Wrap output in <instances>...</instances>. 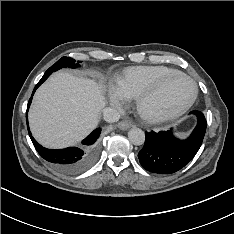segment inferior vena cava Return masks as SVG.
Masks as SVG:
<instances>
[{
    "label": "inferior vena cava",
    "mask_w": 234,
    "mask_h": 234,
    "mask_svg": "<svg viewBox=\"0 0 234 234\" xmlns=\"http://www.w3.org/2000/svg\"><path fill=\"white\" fill-rule=\"evenodd\" d=\"M103 118L107 122H117L120 119V114L116 109L108 107L103 109Z\"/></svg>",
    "instance_id": "602c4592"
}]
</instances>
